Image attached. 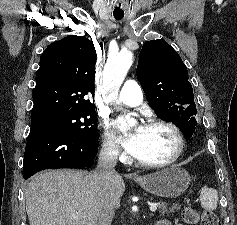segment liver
<instances>
[{"mask_svg": "<svg viewBox=\"0 0 237 225\" xmlns=\"http://www.w3.org/2000/svg\"><path fill=\"white\" fill-rule=\"evenodd\" d=\"M96 186L93 172L58 169L37 174L25 191L30 225H98ZM124 191L118 175L110 188L115 207Z\"/></svg>", "mask_w": 237, "mask_h": 225, "instance_id": "6515ba94", "label": "liver"}]
</instances>
